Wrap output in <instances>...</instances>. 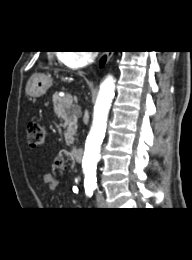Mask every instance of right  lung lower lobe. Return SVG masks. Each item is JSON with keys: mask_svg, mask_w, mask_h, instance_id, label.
Wrapping results in <instances>:
<instances>
[{"mask_svg": "<svg viewBox=\"0 0 192 260\" xmlns=\"http://www.w3.org/2000/svg\"><path fill=\"white\" fill-rule=\"evenodd\" d=\"M105 61H106V57L104 56V57L101 59V62H100L101 66L104 65Z\"/></svg>", "mask_w": 192, "mask_h": 260, "instance_id": "98d812e1", "label": "right lung lower lobe"}]
</instances>
